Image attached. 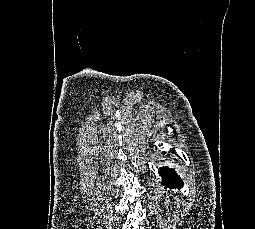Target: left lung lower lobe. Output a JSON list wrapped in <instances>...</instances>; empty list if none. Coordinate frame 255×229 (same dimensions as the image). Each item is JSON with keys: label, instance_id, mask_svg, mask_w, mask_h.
I'll list each match as a JSON object with an SVG mask.
<instances>
[{"label": "left lung lower lobe", "instance_id": "left-lung-lower-lobe-1", "mask_svg": "<svg viewBox=\"0 0 255 229\" xmlns=\"http://www.w3.org/2000/svg\"><path fill=\"white\" fill-rule=\"evenodd\" d=\"M160 174L162 177V183L169 187L170 189L172 187L181 188L183 187V182L181 178L176 174V172L173 169H170L168 167H162L160 168Z\"/></svg>", "mask_w": 255, "mask_h": 229}]
</instances>
